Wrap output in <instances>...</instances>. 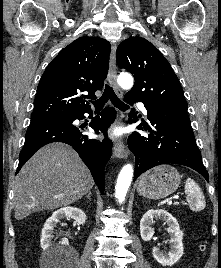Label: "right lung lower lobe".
<instances>
[{"label":"right lung lower lobe","instance_id":"98d812e1","mask_svg":"<svg viewBox=\"0 0 221 268\" xmlns=\"http://www.w3.org/2000/svg\"><path fill=\"white\" fill-rule=\"evenodd\" d=\"M90 112L91 110H87L65 118L32 120L26 132L25 145L19 155L16 174L39 148L50 142H64L77 151L103 194L105 189L104 167L111 157L112 142L107 137L102 142L89 139L83 133L82 126L78 127L73 124L77 119H84V113ZM115 117V109L107 107L89 125L96 133H99V130L106 132Z\"/></svg>","mask_w":221,"mask_h":268}]
</instances>
